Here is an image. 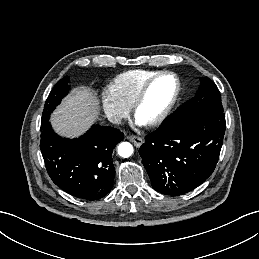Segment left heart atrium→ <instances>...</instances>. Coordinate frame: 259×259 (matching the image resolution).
<instances>
[{
  "label": "left heart atrium",
  "mask_w": 259,
  "mask_h": 259,
  "mask_svg": "<svg viewBox=\"0 0 259 259\" xmlns=\"http://www.w3.org/2000/svg\"><path fill=\"white\" fill-rule=\"evenodd\" d=\"M139 124H144V123H142V122L139 121Z\"/></svg>",
  "instance_id": "39dd6f15"
}]
</instances>
